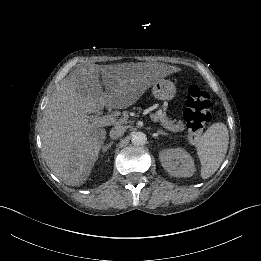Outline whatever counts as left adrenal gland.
<instances>
[{"label":"left adrenal gland","instance_id":"a2214340","mask_svg":"<svg viewBox=\"0 0 261 261\" xmlns=\"http://www.w3.org/2000/svg\"><path fill=\"white\" fill-rule=\"evenodd\" d=\"M157 133H158V134H161V135H165V136L168 135V133H166V132L163 131V130H158Z\"/></svg>","mask_w":261,"mask_h":261}]
</instances>
